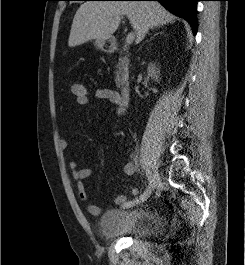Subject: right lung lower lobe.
Returning a JSON list of instances; mask_svg holds the SVG:
<instances>
[{
    "mask_svg": "<svg viewBox=\"0 0 245 265\" xmlns=\"http://www.w3.org/2000/svg\"><path fill=\"white\" fill-rule=\"evenodd\" d=\"M104 1V0H103ZM115 1H158L165 8L189 22L194 34L197 32V5L199 0H115Z\"/></svg>",
    "mask_w": 245,
    "mask_h": 265,
    "instance_id": "98d812e1",
    "label": "right lung lower lobe"
}]
</instances>
